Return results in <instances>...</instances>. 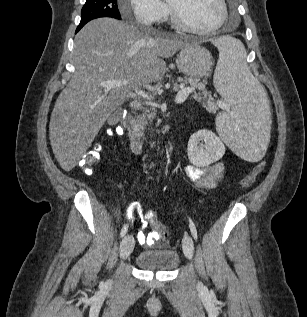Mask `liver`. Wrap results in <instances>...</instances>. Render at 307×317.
<instances>
[{"instance_id": "liver-1", "label": "liver", "mask_w": 307, "mask_h": 317, "mask_svg": "<svg viewBox=\"0 0 307 317\" xmlns=\"http://www.w3.org/2000/svg\"><path fill=\"white\" fill-rule=\"evenodd\" d=\"M187 45L178 38L152 37L149 31L112 18L86 24L75 36V71L56 100L49 124L51 147L61 168L72 170L112 112L132 91L161 80L166 72L163 58ZM110 80L128 83L111 90L100 86Z\"/></svg>"}]
</instances>
